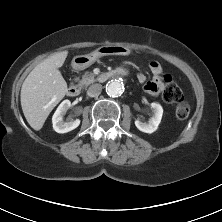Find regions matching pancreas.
Returning <instances> with one entry per match:
<instances>
[{"instance_id":"1","label":"pancreas","mask_w":222,"mask_h":222,"mask_svg":"<svg viewBox=\"0 0 222 222\" xmlns=\"http://www.w3.org/2000/svg\"><path fill=\"white\" fill-rule=\"evenodd\" d=\"M98 81V78H95L94 73L92 72H85L84 75L82 76V79L79 80V87H87L88 85Z\"/></svg>"}]
</instances>
